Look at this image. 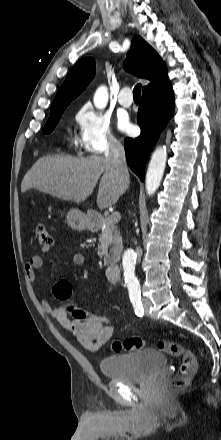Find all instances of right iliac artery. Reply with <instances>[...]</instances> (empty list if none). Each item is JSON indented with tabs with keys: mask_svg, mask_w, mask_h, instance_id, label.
Returning a JSON list of instances; mask_svg holds the SVG:
<instances>
[{
	"mask_svg": "<svg viewBox=\"0 0 221 440\" xmlns=\"http://www.w3.org/2000/svg\"><path fill=\"white\" fill-rule=\"evenodd\" d=\"M131 302L133 304L135 314L142 317L144 315V308L140 297H131Z\"/></svg>",
	"mask_w": 221,
	"mask_h": 440,
	"instance_id": "1",
	"label": "right iliac artery"
}]
</instances>
